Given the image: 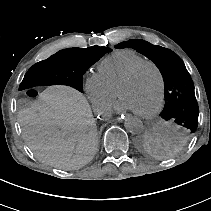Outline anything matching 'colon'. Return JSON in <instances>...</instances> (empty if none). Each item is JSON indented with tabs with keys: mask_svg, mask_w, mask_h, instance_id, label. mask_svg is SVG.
Here are the masks:
<instances>
[{
	"mask_svg": "<svg viewBox=\"0 0 211 211\" xmlns=\"http://www.w3.org/2000/svg\"><path fill=\"white\" fill-rule=\"evenodd\" d=\"M39 95V91L35 88L27 90V96L30 98H36Z\"/></svg>",
	"mask_w": 211,
	"mask_h": 211,
	"instance_id": "1",
	"label": "colon"
}]
</instances>
